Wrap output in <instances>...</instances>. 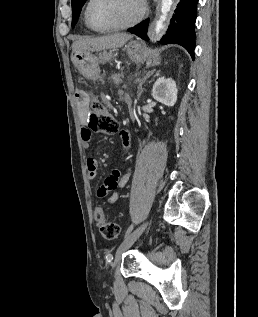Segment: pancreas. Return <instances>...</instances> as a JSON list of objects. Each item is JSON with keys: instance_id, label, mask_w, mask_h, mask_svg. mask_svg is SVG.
I'll list each match as a JSON object with an SVG mask.
<instances>
[{"instance_id": "pancreas-1", "label": "pancreas", "mask_w": 258, "mask_h": 317, "mask_svg": "<svg viewBox=\"0 0 258 317\" xmlns=\"http://www.w3.org/2000/svg\"><path fill=\"white\" fill-rule=\"evenodd\" d=\"M114 83L115 84H120V83H123V78H120V77H115L114 78ZM118 87V92H119V95L120 96H125L126 95V90H125V87L124 86H117Z\"/></svg>"}]
</instances>
